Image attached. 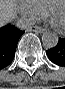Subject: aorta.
<instances>
[{"label":"aorta","mask_w":65,"mask_h":89,"mask_svg":"<svg viewBox=\"0 0 65 89\" xmlns=\"http://www.w3.org/2000/svg\"><path fill=\"white\" fill-rule=\"evenodd\" d=\"M59 38L53 31H45L42 35V43L45 48H54L58 44Z\"/></svg>","instance_id":"1"}]
</instances>
